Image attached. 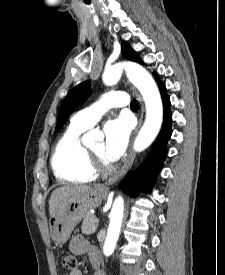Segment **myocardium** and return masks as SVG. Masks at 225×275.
<instances>
[{
  "mask_svg": "<svg viewBox=\"0 0 225 275\" xmlns=\"http://www.w3.org/2000/svg\"><path fill=\"white\" fill-rule=\"evenodd\" d=\"M89 156V165L96 174H107L113 171L114 167L110 163L103 161L98 155L93 153L90 149H86Z\"/></svg>",
  "mask_w": 225,
  "mask_h": 275,
  "instance_id": "1",
  "label": "myocardium"
}]
</instances>
